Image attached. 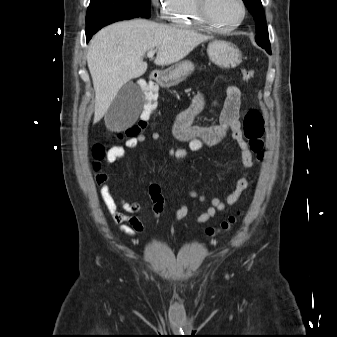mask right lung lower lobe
<instances>
[{
	"label": "right lung lower lobe",
	"mask_w": 337,
	"mask_h": 337,
	"mask_svg": "<svg viewBox=\"0 0 337 337\" xmlns=\"http://www.w3.org/2000/svg\"><path fill=\"white\" fill-rule=\"evenodd\" d=\"M135 16L125 15V14H114V15H106L99 17L95 20L90 21L86 25V41L88 42L92 35L95 34L102 27L111 24L116 21L126 20L134 18Z\"/></svg>",
	"instance_id": "98d812e1"
}]
</instances>
